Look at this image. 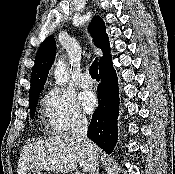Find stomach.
<instances>
[{
	"label": "stomach",
	"instance_id": "obj_1",
	"mask_svg": "<svg viewBox=\"0 0 175 174\" xmlns=\"http://www.w3.org/2000/svg\"><path fill=\"white\" fill-rule=\"evenodd\" d=\"M26 174H43V173L40 170L34 169V170L28 171Z\"/></svg>",
	"mask_w": 175,
	"mask_h": 174
}]
</instances>
